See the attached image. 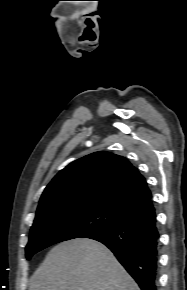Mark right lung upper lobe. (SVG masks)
I'll list each match as a JSON object with an SVG mask.
<instances>
[{"mask_svg":"<svg viewBox=\"0 0 187 290\" xmlns=\"http://www.w3.org/2000/svg\"><path fill=\"white\" fill-rule=\"evenodd\" d=\"M145 178L124 157L99 151L61 170L45 188L36 218L82 206H104L126 219L155 212Z\"/></svg>","mask_w":187,"mask_h":290,"instance_id":"obj_1","label":"right lung upper lobe"}]
</instances>
